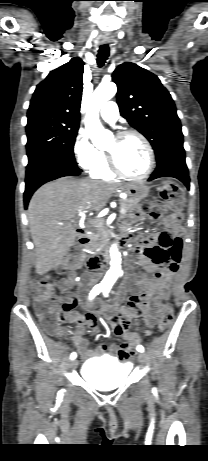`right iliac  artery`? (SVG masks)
I'll return each mask as SVG.
<instances>
[{"mask_svg":"<svg viewBox=\"0 0 208 461\" xmlns=\"http://www.w3.org/2000/svg\"><path fill=\"white\" fill-rule=\"evenodd\" d=\"M104 289V287L100 286V285H96L92 291L90 292V296L89 298L92 299L94 298L96 295H98L102 290ZM77 357V354L75 352L71 353L70 355V359L73 360Z\"/></svg>","mask_w":208,"mask_h":461,"instance_id":"1","label":"right iliac artery"}]
</instances>
